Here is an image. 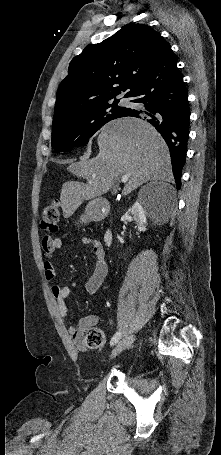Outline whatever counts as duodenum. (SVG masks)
<instances>
[{
    "label": "duodenum",
    "mask_w": 221,
    "mask_h": 455,
    "mask_svg": "<svg viewBox=\"0 0 221 455\" xmlns=\"http://www.w3.org/2000/svg\"><path fill=\"white\" fill-rule=\"evenodd\" d=\"M107 214V205L105 203L98 205L95 210V218L101 219ZM113 241V233L111 229H108L104 234V242L107 245H111Z\"/></svg>",
    "instance_id": "duodenum-1"
}]
</instances>
